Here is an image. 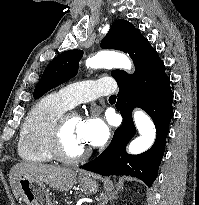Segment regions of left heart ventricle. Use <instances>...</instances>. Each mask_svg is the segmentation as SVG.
I'll return each instance as SVG.
<instances>
[{
	"instance_id": "left-heart-ventricle-1",
	"label": "left heart ventricle",
	"mask_w": 199,
	"mask_h": 205,
	"mask_svg": "<svg viewBox=\"0 0 199 205\" xmlns=\"http://www.w3.org/2000/svg\"><path fill=\"white\" fill-rule=\"evenodd\" d=\"M80 123L81 120L75 114L66 123L63 134V147L68 154H76L87 148V144L80 136Z\"/></svg>"
}]
</instances>
